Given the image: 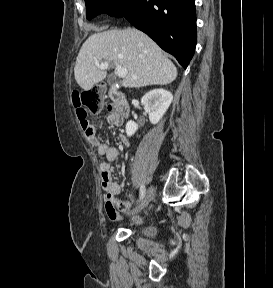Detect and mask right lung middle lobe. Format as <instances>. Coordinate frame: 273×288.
<instances>
[{
    "label": "right lung middle lobe",
    "mask_w": 273,
    "mask_h": 288,
    "mask_svg": "<svg viewBox=\"0 0 273 288\" xmlns=\"http://www.w3.org/2000/svg\"><path fill=\"white\" fill-rule=\"evenodd\" d=\"M137 0H85L86 17L91 19L100 13L113 17H123L135 5Z\"/></svg>",
    "instance_id": "obj_1"
}]
</instances>
